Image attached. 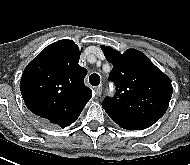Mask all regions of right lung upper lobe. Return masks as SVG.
I'll return each mask as SVG.
<instances>
[{
  "label": "right lung upper lobe",
  "instance_id": "1",
  "mask_svg": "<svg viewBox=\"0 0 190 165\" xmlns=\"http://www.w3.org/2000/svg\"><path fill=\"white\" fill-rule=\"evenodd\" d=\"M80 50L72 40L44 48L24 69L20 91L28 109L61 128L77 120L91 99L87 70L79 66Z\"/></svg>",
  "mask_w": 190,
  "mask_h": 165
}]
</instances>
